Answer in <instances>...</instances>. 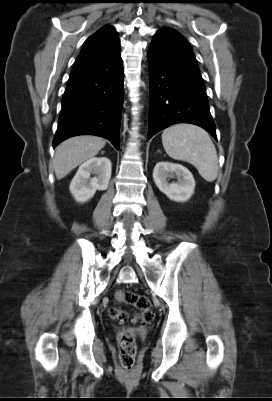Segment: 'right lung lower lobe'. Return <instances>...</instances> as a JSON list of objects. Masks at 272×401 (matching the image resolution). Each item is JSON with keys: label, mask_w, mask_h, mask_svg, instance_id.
<instances>
[{"label": "right lung lower lobe", "mask_w": 272, "mask_h": 401, "mask_svg": "<svg viewBox=\"0 0 272 401\" xmlns=\"http://www.w3.org/2000/svg\"><path fill=\"white\" fill-rule=\"evenodd\" d=\"M120 46L103 59L70 74L53 147L76 135H96L119 149L123 104Z\"/></svg>", "instance_id": "98d812e1"}]
</instances>
